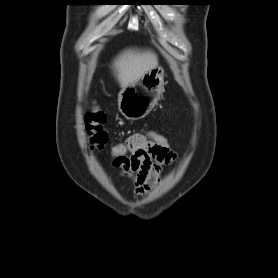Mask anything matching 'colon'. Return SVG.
<instances>
[{"label":"colon","instance_id":"5ec220e1","mask_svg":"<svg viewBox=\"0 0 278 278\" xmlns=\"http://www.w3.org/2000/svg\"><path fill=\"white\" fill-rule=\"evenodd\" d=\"M105 122V113L95 106L85 114L86 129L90 136L92 147L98 150L102 149L108 140L107 132L104 130ZM147 136L164 150L175 153L170 141L165 136L153 131L148 132ZM126 154L127 147L124 144H117L111 149L113 158H121Z\"/></svg>","mask_w":278,"mask_h":278}]
</instances>
